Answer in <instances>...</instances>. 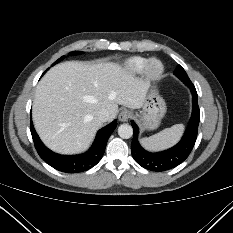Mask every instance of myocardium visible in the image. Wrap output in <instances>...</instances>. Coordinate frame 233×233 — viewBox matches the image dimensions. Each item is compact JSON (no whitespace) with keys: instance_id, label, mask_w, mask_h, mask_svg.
I'll list each match as a JSON object with an SVG mask.
<instances>
[{"instance_id":"myocardium-1","label":"myocardium","mask_w":233,"mask_h":233,"mask_svg":"<svg viewBox=\"0 0 233 233\" xmlns=\"http://www.w3.org/2000/svg\"><path fill=\"white\" fill-rule=\"evenodd\" d=\"M164 71L163 63L157 58L147 60L144 67L145 76L150 80H156L161 77Z\"/></svg>"}]
</instances>
